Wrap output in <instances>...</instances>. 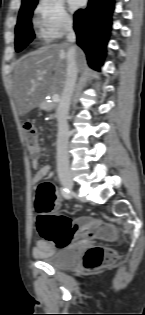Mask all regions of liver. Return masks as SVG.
<instances>
[{
    "label": "liver",
    "mask_w": 145,
    "mask_h": 315,
    "mask_svg": "<svg viewBox=\"0 0 145 315\" xmlns=\"http://www.w3.org/2000/svg\"><path fill=\"white\" fill-rule=\"evenodd\" d=\"M70 48L75 51L77 66L83 68L86 63L83 51L66 42L43 44L17 61L13 97L20 116L41 105L47 95L62 94Z\"/></svg>",
    "instance_id": "liver-1"
}]
</instances>
